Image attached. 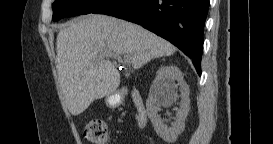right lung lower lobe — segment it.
Masks as SVG:
<instances>
[{
	"label": "right lung lower lobe",
	"mask_w": 273,
	"mask_h": 144,
	"mask_svg": "<svg viewBox=\"0 0 273 144\" xmlns=\"http://www.w3.org/2000/svg\"><path fill=\"white\" fill-rule=\"evenodd\" d=\"M209 0H109L92 13L134 22L183 51L201 75L203 32Z\"/></svg>",
	"instance_id": "obj_1"
}]
</instances>
